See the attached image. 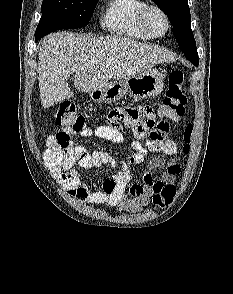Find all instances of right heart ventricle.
Listing matches in <instances>:
<instances>
[{"instance_id": "1", "label": "right heart ventricle", "mask_w": 233, "mask_h": 294, "mask_svg": "<svg viewBox=\"0 0 233 294\" xmlns=\"http://www.w3.org/2000/svg\"><path fill=\"white\" fill-rule=\"evenodd\" d=\"M146 5L144 0H108L100 17L101 26L118 36L151 40L139 22L140 10Z\"/></svg>"}]
</instances>
